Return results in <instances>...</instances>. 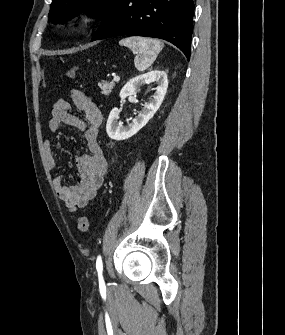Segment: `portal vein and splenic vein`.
<instances>
[{
	"label": "portal vein and splenic vein",
	"instance_id": "1",
	"mask_svg": "<svg viewBox=\"0 0 285 335\" xmlns=\"http://www.w3.org/2000/svg\"><path fill=\"white\" fill-rule=\"evenodd\" d=\"M113 80H114V82H119L120 78H119V76H114Z\"/></svg>",
	"mask_w": 285,
	"mask_h": 335
}]
</instances>
